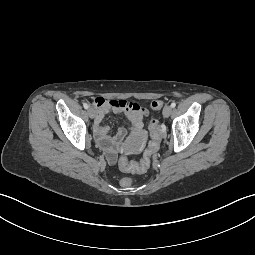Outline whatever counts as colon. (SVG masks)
Listing matches in <instances>:
<instances>
[{
	"label": "colon",
	"mask_w": 255,
	"mask_h": 255,
	"mask_svg": "<svg viewBox=\"0 0 255 255\" xmlns=\"http://www.w3.org/2000/svg\"><path fill=\"white\" fill-rule=\"evenodd\" d=\"M161 101H153L151 103V108L154 110H158L162 107ZM149 131L152 137V141L149 145V147L146 149L144 156L140 163L135 162H129L126 158L122 157L120 159V166L124 171L127 172H136V173H142L147 171V169L150 166L151 158L154 155V153L157 150L158 144L160 142V138L162 135V129L159 125V121L155 118L151 119L149 121ZM134 181L131 177H123L120 180V184L122 187L128 188L133 185Z\"/></svg>",
	"instance_id": "obj_1"
}]
</instances>
